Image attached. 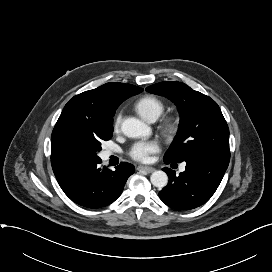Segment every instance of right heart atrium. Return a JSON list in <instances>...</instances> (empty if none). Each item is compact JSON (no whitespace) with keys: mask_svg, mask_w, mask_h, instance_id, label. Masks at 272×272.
I'll use <instances>...</instances> for the list:
<instances>
[{"mask_svg":"<svg viewBox=\"0 0 272 272\" xmlns=\"http://www.w3.org/2000/svg\"><path fill=\"white\" fill-rule=\"evenodd\" d=\"M121 120H122V116L121 114H118L115 119H114V123H113V129L115 131H117L120 128V124H121Z\"/></svg>","mask_w":272,"mask_h":272,"instance_id":"right-heart-atrium-1","label":"right heart atrium"}]
</instances>
